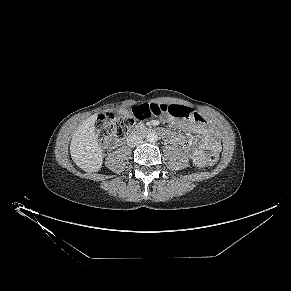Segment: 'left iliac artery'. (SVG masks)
Returning a JSON list of instances; mask_svg holds the SVG:
<instances>
[{
  "instance_id": "44dca946",
  "label": "left iliac artery",
  "mask_w": 291,
  "mask_h": 291,
  "mask_svg": "<svg viewBox=\"0 0 291 291\" xmlns=\"http://www.w3.org/2000/svg\"><path fill=\"white\" fill-rule=\"evenodd\" d=\"M157 138L156 137H153V140H156Z\"/></svg>"
}]
</instances>
